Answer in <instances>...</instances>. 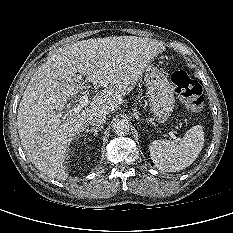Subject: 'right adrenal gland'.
I'll return each instance as SVG.
<instances>
[{
  "label": "right adrenal gland",
  "mask_w": 233,
  "mask_h": 233,
  "mask_svg": "<svg viewBox=\"0 0 233 233\" xmlns=\"http://www.w3.org/2000/svg\"><path fill=\"white\" fill-rule=\"evenodd\" d=\"M102 128H103L102 126L96 127V128L92 127V128H90V129L87 128V129L85 130V133L93 132L94 135L97 136L98 131L101 130Z\"/></svg>",
  "instance_id": "1"
}]
</instances>
